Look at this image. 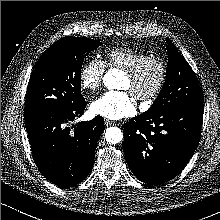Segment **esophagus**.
Listing matches in <instances>:
<instances>
[{
    "instance_id": "esophagus-1",
    "label": "esophagus",
    "mask_w": 220,
    "mask_h": 220,
    "mask_svg": "<svg viewBox=\"0 0 220 220\" xmlns=\"http://www.w3.org/2000/svg\"><path fill=\"white\" fill-rule=\"evenodd\" d=\"M104 122H105V125H106V126H110V125L113 124V122L110 121V120H108V119H105Z\"/></svg>"
}]
</instances>
